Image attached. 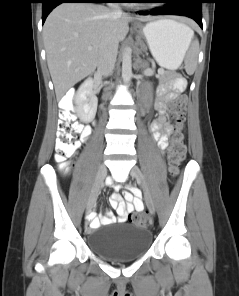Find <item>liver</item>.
<instances>
[{
  "instance_id": "liver-1",
  "label": "liver",
  "mask_w": 239,
  "mask_h": 296,
  "mask_svg": "<svg viewBox=\"0 0 239 296\" xmlns=\"http://www.w3.org/2000/svg\"><path fill=\"white\" fill-rule=\"evenodd\" d=\"M133 19L154 18L115 16L111 9L94 3H63L48 15L43 39L57 99L95 71L101 47L110 40L123 41Z\"/></svg>"
}]
</instances>
